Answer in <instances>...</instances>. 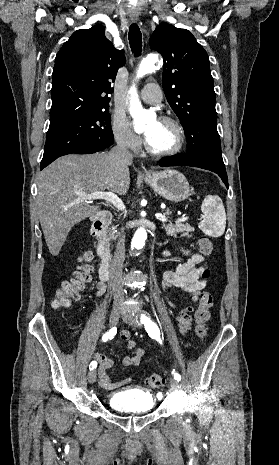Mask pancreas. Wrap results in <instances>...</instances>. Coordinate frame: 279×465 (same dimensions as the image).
I'll return each mask as SVG.
<instances>
[{
    "label": "pancreas",
    "mask_w": 279,
    "mask_h": 465,
    "mask_svg": "<svg viewBox=\"0 0 279 465\" xmlns=\"http://www.w3.org/2000/svg\"><path fill=\"white\" fill-rule=\"evenodd\" d=\"M170 212L167 211L166 215H169ZM162 228H164L168 235L177 237L179 234L181 237L190 236L189 233L194 231V228L189 224H180L176 223L173 224L172 222L168 224H163ZM117 237V226H112L109 230V234L107 236V241L115 240Z\"/></svg>",
    "instance_id": "cf45deb5"
}]
</instances>
